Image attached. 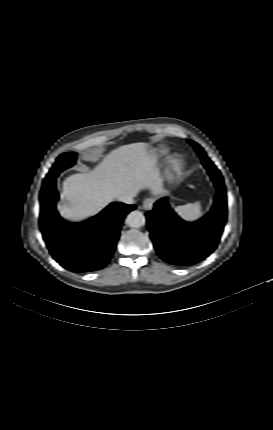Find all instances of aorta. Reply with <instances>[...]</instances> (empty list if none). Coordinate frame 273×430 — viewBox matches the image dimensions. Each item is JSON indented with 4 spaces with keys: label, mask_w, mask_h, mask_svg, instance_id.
Instances as JSON below:
<instances>
[{
    "label": "aorta",
    "mask_w": 273,
    "mask_h": 430,
    "mask_svg": "<svg viewBox=\"0 0 273 430\" xmlns=\"http://www.w3.org/2000/svg\"><path fill=\"white\" fill-rule=\"evenodd\" d=\"M126 224L132 228H139L145 225L146 219L142 212L134 210L126 218Z\"/></svg>",
    "instance_id": "762f6f07"
}]
</instances>
